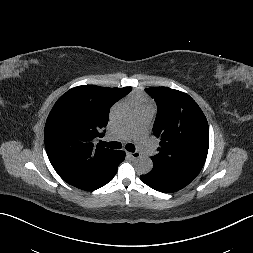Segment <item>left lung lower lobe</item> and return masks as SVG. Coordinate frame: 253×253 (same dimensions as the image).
Masks as SVG:
<instances>
[{"instance_id":"obj_1","label":"left lung lower lobe","mask_w":253,"mask_h":253,"mask_svg":"<svg viewBox=\"0 0 253 253\" xmlns=\"http://www.w3.org/2000/svg\"><path fill=\"white\" fill-rule=\"evenodd\" d=\"M195 177L164 167L153 166V170L141 176L149 187L163 193L175 192L188 185Z\"/></svg>"}]
</instances>
